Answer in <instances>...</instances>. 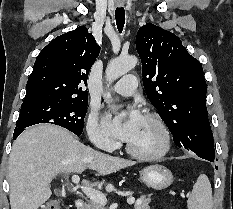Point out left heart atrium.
<instances>
[{
  "label": "left heart atrium",
  "instance_id": "left-heart-atrium-1",
  "mask_svg": "<svg viewBox=\"0 0 233 209\" xmlns=\"http://www.w3.org/2000/svg\"><path fill=\"white\" fill-rule=\"evenodd\" d=\"M143 118L144 117L139 110L131 108L127 118L123 121H118L115 118V110H111L106 113L104 122L112 133L128 142L134 137Z\"/></svg>",
  "mask_w": 233,
  "mask_h": 209
}]
</instances>
